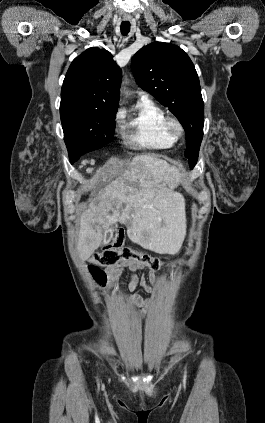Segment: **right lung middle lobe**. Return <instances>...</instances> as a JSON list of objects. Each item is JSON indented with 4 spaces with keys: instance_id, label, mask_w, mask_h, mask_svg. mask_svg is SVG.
<instances>
[{
    "instance_id": "right-lung-middle-lobe-1",
    "label": "right lung middle lobe",
    "mask_w": 265,
    "mask_h": 423,
    "mask_svg": "<svg viewBox=\"0 0 265 423\" xmlns=\"http://www.w3.org/2000/svg\"><path fill=\"white\" fill-rule=\"evenodd\" d=\"M117 111L78 103L60 104V117L71 163L113 139Z\"/></svg>"
}]
</instances>
